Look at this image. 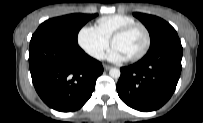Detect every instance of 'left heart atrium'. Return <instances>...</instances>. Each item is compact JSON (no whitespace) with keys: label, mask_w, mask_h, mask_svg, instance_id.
<instances>
[{"label":"left heart atrium","mask_w":203,"mask_h":123,"mask_svg":"<svg viewBox=\"0 0 203 123\" xmlns=\"http://www.w3.org/2000/svg\"><path fill=\"white\" fill-rule=\"evenodd\" d=\"M107 58L113 62H123L127 60V58L115 47H112V49L109 51Z\"/></svg>","instance_id":"1"}]
</instances>
